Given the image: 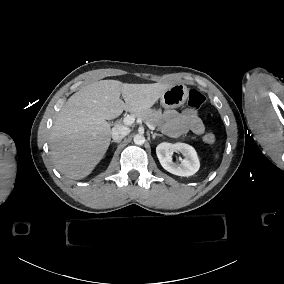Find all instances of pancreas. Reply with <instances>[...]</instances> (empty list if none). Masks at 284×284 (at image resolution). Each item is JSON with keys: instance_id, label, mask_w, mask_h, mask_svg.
Wrapping results in <instances>:
<instances>
[{"instance_id": "pancreas-1", "label": "pancreas", "mask_w": 284, "mask_h": 284, "mask_svg": "<svg viewBox=\"0 0 284 284\" xmlns=\"http://www.w3.org/2000/svg\"><path fill=\"white\" fill-rule=\"evenodd\" d=\"M134 116L141 118L146 124H150L160 131L164 125V118L162 111H156L154 109H146L134 113Z\"/></svg>"}]
</instances>
